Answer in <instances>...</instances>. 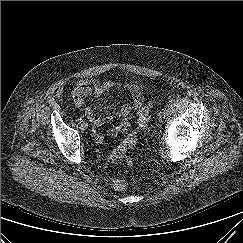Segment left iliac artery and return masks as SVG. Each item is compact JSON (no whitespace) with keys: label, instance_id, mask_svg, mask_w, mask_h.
Masks as SVG:
<instances>
[{"label":"left iliac artery","instance_id":"obj_1","mask_svg":"<svg viewBox=\"0 0 243 243\" xmlns=\"http://www.w3.org/2000/svg\"><path fill=\"white\" fill-rule=\"evenodd\" d=\"M158 116H160V117L162 116V112L161 111L159 112Z\"/></svg>","mask_w":243,"mask_h":243}]
</instances>
